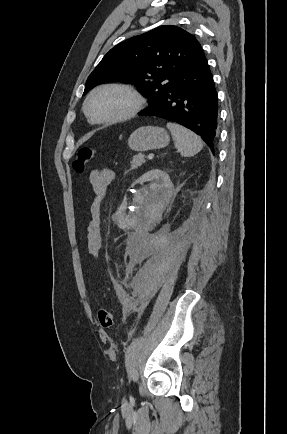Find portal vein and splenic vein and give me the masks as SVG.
I'll use <instances>...</instances> for the list:
<instances>
[{
    "mask_svg": "<svg viewBox=\"0 0 287 434\" xmlns=\"http://www.w3.org/2000/svg\"><path fill=\"white\" fill-rule=\"evenodd\" d=\"M153 157H154V154H152V153L148 155L149 160L153 159Z\"/></svg>",
    "mask_w": 287,
    "mask_h": 434,
    "instance_id": "portal-vein-and-splenic-vein-1",
    "label": "portal vein and splenic vein"
}]
</instances>
